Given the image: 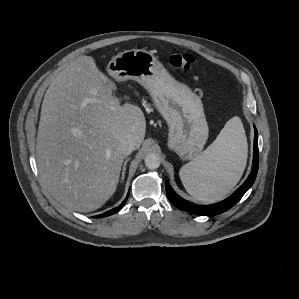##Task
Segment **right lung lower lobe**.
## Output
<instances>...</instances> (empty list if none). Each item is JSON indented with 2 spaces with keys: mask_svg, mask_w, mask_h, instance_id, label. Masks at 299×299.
Segmentation results:
<instances>
[{
  "mask_svg": "<svg viewBox=\"0 0 299 299\" xmlns=\"http://www.w3.org/2000/svg\"><path fill=\"white\" fill-rule=\"evenodd\" d=\"M127 197H128V195H127ZM126 200H127V198L123 201V203H122L119 207H116V208H114V209H112V210H110V211H107V212H105V213H103V214H101V215H97V216H95V217H96V218H99V217H106V216H109V215H112V214L116 213L117 211H119L120 208L123 207V205L125 204Z\"/></svg>",
  "mask_w": 299,
  "mask_h": 299,
  "instance_id": "98d812e1",
  "label": "right lung lower lobe"
}]
</instances>
